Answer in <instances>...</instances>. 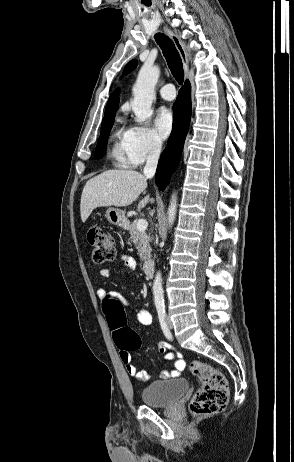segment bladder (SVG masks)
<instances>
[{"label": "bladder", "mask_w": 294, "mask_h": 462, "mask_svg": "<svg viewBox=\"0 0 294 462\" xmlns=\"http://www.w3.org/2000/svg\"><path fill=\"white\" fill-rule=\"evenodd\" d=\"M189 389L186 379L154 381L141 392L143 403L150 407H168L177 402Z\"/></svg>", "instance_id": "bladder-1"}]
</instances>
